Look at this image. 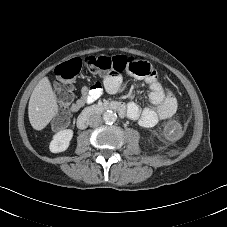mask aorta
I'll list each match as a JSON object with an SVG mask.
<instances>
[{"mask_svg": "<svg viewBox=\"0 0 227 227\" xmlns=\"http://www.w3.org/2000/svg\"><path fill=\"white\" fill-rule=\"evenodd\" d=\"M117 119V115L116 113H114L113 111H106L103 113V120L106 124H113Z\"/></svg>", "mask_w": 227, "mask_h": 227, "instance_id": "1", "label": "aorta"}]
</instances>
